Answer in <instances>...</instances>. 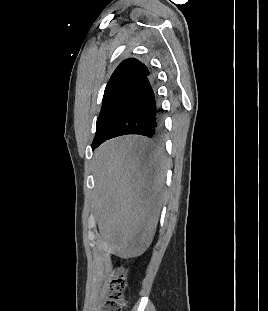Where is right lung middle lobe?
Returning a JSON list of instances; mask_svg holds the SVG:
<instances>
[{"label":"right lung middle lobe","instance_id":"1","mask_svg":"<svg viewBox=\"0 0 268 311\" xmlns=\"http://www.w3.org/2000/svg\"><path fill=\"white\" fill-rule=\"evenodd\" d=\"M136 85H126L103 96V103L96 124V134L92 145L96 144L121 109L131 98Z\"/></svg>","mask_w":268,"mask_h":311}]
</instances>
